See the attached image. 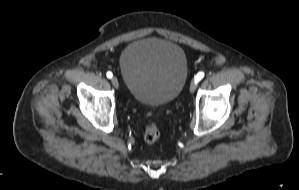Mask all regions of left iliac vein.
<instances>
[{"label": "left iliac vein", "mask_w": 299, "mask_h": 190, "mask_svg": "<svg viewBox=\"0 0 299 190\" xmlns=\"http://www.w3.org/2000/svg\"><path fill=\"white\" fill-rule=\"evenodd\" d=\"M196 85L197 83L194 81H192L191 85H190V92L193 93L196 89Z\"/></svg>", "instance_id": "obj_1"}]
</instances>
